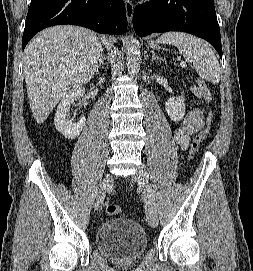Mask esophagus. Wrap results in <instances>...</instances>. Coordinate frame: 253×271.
<instances>
[{"mask_svg":"<svg viewBox=\"0 0 253 271\" xmlns=\"http://www.w3.org/2000/svg\"><path fill=\"white\" fill-rule=\"evenodd\" d=\"M125 10H126V16L129 23L132 22L133 13H134V7L131 0H125Z\"/></svg>","mask_w":253,"mask_h":271,"instance_id":"1","label":"esophagus"}]
</instances>
